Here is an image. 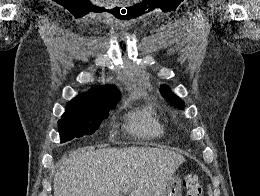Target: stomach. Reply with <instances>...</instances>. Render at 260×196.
<instances>
[{
	"instance_id": "1",
	"label": "stomach",
	"mask_w": 260,
	"mask_h": 196,
	"mask_svg": "<svg viewBox=\"0 0 260 196\" xmlns=\"http://www.w3.org/2000/svg\"><path fill=\"white\" fill-rule=\"evenodd\" d=\"M167 185H182V180H167ZM161 196H181L180 187H165Z\"/></svg>"
}]
</instances>
